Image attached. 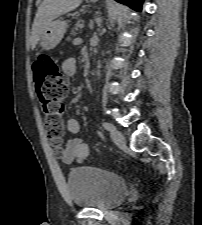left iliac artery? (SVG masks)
<instances>
[{"mask_svg": "<svg viewBox=\"0 0 202 225\" xmlns=\"http://www.w3.org/2000/svg\"><path fill=\"white\" fill-rule=\"evenodd\" d=\"M102 125L104 126V128L106 130H109V131H112V130H115L116 129L112 124L107 123V122H103Z\"/></svg>", "mask_w": 202, "mask_h": 225, "instance_id": "44dca946", "label": "left iliac artery"}]
</instances>
